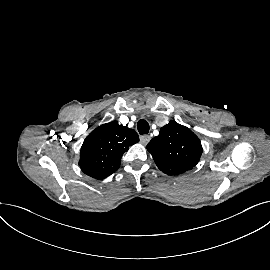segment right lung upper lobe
<instances>
[{
    "instance_id": "obj_1",
    "label": "right lung upper lobe",
    "mask_w": 270,
    "mask_h": 270,
    "mask_svg": "<svg viewBox=\"0 0 270 270\" xmlns=\"http://www.w3.org/2000/svg\"><path fill=\"white\" fill-rule=\"evenodd\" d=\"M138 141L135 130L117 121L97 127L81 147L79 165L82 172L97 180L108 177L120 167L123 153Z\"/></svg>"
}]
</instances>
